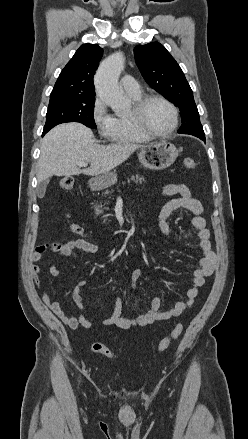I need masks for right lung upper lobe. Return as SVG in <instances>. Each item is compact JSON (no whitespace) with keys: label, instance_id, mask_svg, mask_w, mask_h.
Here are the masks:
<instances>
[{"label":"right lung upper lobe","instance_id":"right-lung-upper-lobe-1","mask_svg":"<svg viewBox=\"0 0 248 439\" xmlns=\"http://www.w3.org/2000/svg\"><path fill=\"white\" fill-rule=\"evenodd\" d=\"M103 49L96 44H83L61 71L50 97L60 95L95 96L93 77Z\"/></svg>","mask_w":248,"mask_h":439}]
</instances>
